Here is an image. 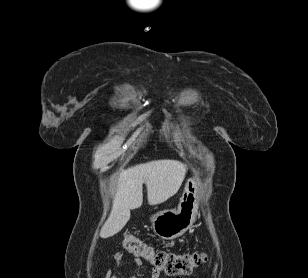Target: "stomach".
I'll use <instances>...</instances> for the list:
<instances>
[{
    "instance_id": "0dacf381",
    "label": "stomach",
    "mask_w": 308,
    "mask_h": 278,
    "mask_svg": "<svg viewBox=\"0 0 308 278\" xmlns=\"http://www.w3.org/2000/svg\"><path fill=\"white\" fill-rule=\"evenodd\" d=\"M197 191V179H189L177 209L152 215L151 224L157 236L166 240L175 239L192 227L199 209Z\"/></svg>"
}]
</instances>
